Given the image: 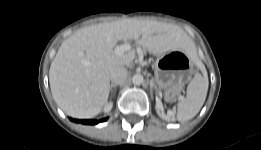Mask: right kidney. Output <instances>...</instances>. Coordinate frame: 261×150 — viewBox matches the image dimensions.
<instances>
[{"instance_id": "obj_1", "label": "right kidney", "mask_w": 261, "mask_h": 150, "mask_svg": "<svg viewBox=\"0 0 261 150\" xmlns=\"http://www.w3.org/2000/svg\"><path fill=\"white\" fill-rule=\"evenodd\" d=\"M113 107V103L112 102H109L107 103L105 106H104V112H109Z\"/></svg>"}]
</instances>
